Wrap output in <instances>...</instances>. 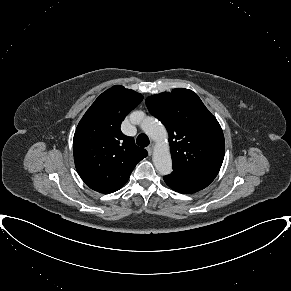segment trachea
I'll list each match as a JSON object with an SVG mask.
<instances>
[{
  "mask_svg": "<svg viewBox=\"0 0 291 291\" xmlns=\"http://www.w3.org/2000/svg\"><path fill=\"white\" fill-rule=\"evenodd\" d=\"M136 143L140 146V147H147L150 143L149 138L147 137V135L145 134H140L137 137Z\"/></svg>",
  "mask_w": 291,
  "mask_h": 291,
  "instance_id": "obj_1",
  "label": "trachea"
}]
</instances>
